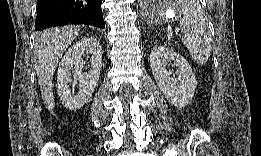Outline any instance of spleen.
Returning <instances> with one entry per match:
<instances>
[{
	"label": "spleen",
	"instance_id": "1",
	"mask_svg": "<svg viewBox=\"0 0 261 156\" xmlns=\"http://www.w3.org/2000/svg\"><path fill=\"white\" fill-rule=\"evenodd\" d=\"M172 10L176 12L175 8ZM178 12L179 25L185 34L183 37L185 46L194 61L205 64L210 58L212 46L210 31L203 18L200 5L195 1H184Z\"/></svg>",
	"mask_w": 261,
	"mask_h": 156
}]
</instances>
